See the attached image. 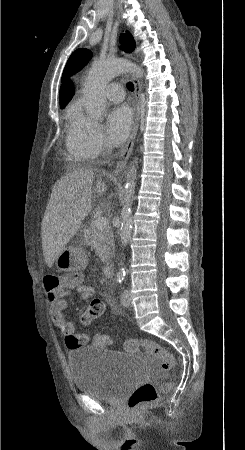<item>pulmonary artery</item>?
Here are the masks:
<instances>
[{
    "mask_svg": "<svg viewBox=\"0 0 245 450\" xmlns=\"http://www.w3.org/2000/svg\"><path fill=\"white\" fill-rule=\"evenodd\" d=\"M105 95L107 100L111 102L114 103L122 102L124 100L123 85L117 82H110L105 87Z\"/></svg>",
    "mask_w": 245,
    "mask_h": 450,
    "instance_id": "1",
    "label": "pulmonary artery"
}]
</instances>
